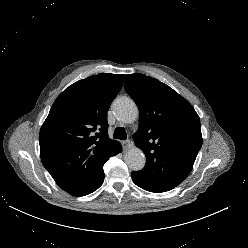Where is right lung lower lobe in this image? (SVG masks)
Here are the masks:
<instances>
[{
  "mask_svg": "<svg viewBox=\"0 0 248 248\" xmlns=\"http://www.w3.org/2000/svg\"><path fill=\"white\" fill-rule=\"evenodd\" d=\"M122 151V147H121V144L118 146V148L116 149L115 153H114V156L118 153H120ZM105 176V175H104ZM104 176L99 180V182L92 188L91 191H89L87 194H90L92 192H94L95 190H97L103 183L104 181ZM85 194V195H87ZM84 196V195H83Z\"/></svg>",
  "mask_w": 248,
  "mask_h": 248,
  "instance_id": "right-lung-lower-lobe-1",
  "label": "right lung lower lobe"
}]
</instances>
